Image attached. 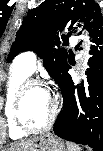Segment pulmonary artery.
Listing matches in <instances>:
<instances>
[{"label": "pulmonary artery", "mask_w": 103, "mask_h": 151, "mask_svg": "<svg viewBox=\"0 0 103 151\" xmlns=\"http://www.w3.org/2000/svg\"><path fill=\"white\" fill-rule=\"evenodd\" d=\"M69 42L72 46L76 45V37L71 36ZM36 63L37 55L34 51L23 52L15 59V64L25 70L28 74H32L35 71Z\"/></svg>", "instance_id": "e3ab8cb5"}]
</instances>
